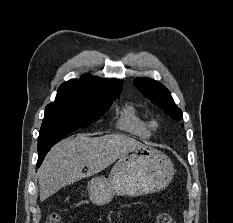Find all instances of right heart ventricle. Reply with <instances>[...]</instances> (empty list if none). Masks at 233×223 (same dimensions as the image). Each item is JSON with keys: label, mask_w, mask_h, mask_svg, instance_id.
I'll return each mask as SVG.
<instances>
[{"label": "right heart ventricle", "mask_w": 233, "mask_h": 223, "mask_svg": "<svg viewBox=\"0 0 233 223\" xmlns=\"http://www.w3.org/2000/svg\"><path fill=\"white\" fill-rule=\"evenodd\" d=\"M116 127L141 139H148L151 134L149 122L133 104H126L119 112Z\"/></svg>", "instance_id": "obj_1"}]
</instances>
